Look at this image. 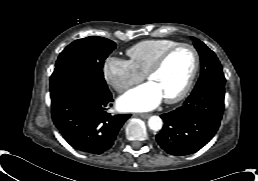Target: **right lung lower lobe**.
I'll return each mask as SVG.
<instances>
[{
	"mask_svg": "<svg viewBox=\"0 0 258 181\" xmlns=\"http://www.w3.org/2000/svg\"><path fill=\"white\" fill-rule=\"evenodd\" d=\"M52 119L64 139L76 150L102 154L114 144L130 117L111 115L113 101L107 89L93 87L72 74L56 70L50 78Z\"/></svg>",
	"mask_w": 258,
	"mask_h": 181,
	"instance_id": "obj_1",
	"label": "right lung lower lobe"
}]
</instances>
